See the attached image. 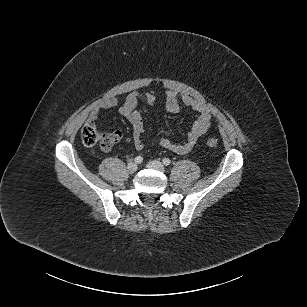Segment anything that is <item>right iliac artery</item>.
I'll return each instance as SVG.
<instances>
[{
	"mask_svg": "<svg viewBox=\"0 0 307 307\" xmlns=\"http://www.w3.org/2000/svg\"><path fill=\"white\" fill-rule=\"evenodd\" d=\"M135 163L137 164H141L143 162V158L141 156H137L135 159H134Z\"/></svg>",
	"mask_w": 307,
	"mask_h": 307,
	"instance_id": "1",
	"label": "right iliac artery"
}]
</instances>
